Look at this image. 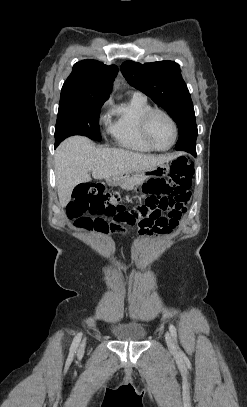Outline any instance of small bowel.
<instances>
[{"label": "small bowel", "instance_id": "obj_1", "mask_svg": "<svg viewBox=\"0 0 247 407\" xmlns=\"http://www.w3.org/2000/svg\"><path fill=\"white\" fill-rule=\"evenodd\" d=\"M186 212V203H173L168 199L148 196L141 206L115 216L119 223L137 224L142 235H171ZM112 232H123L113 225Z\"/></svg>", "mask_w": 247, "mask_h": 407}]
</instances>
